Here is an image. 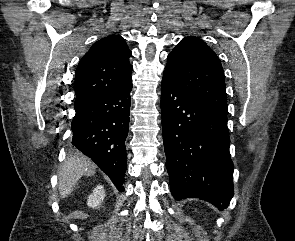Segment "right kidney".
Returning <instances> with one entry per match:
<instances>
[{
    "mask_svg": "<svg viewBox=\"0 0 295 241\" xmlns=\"http://www.w3.org/2000/svg\"><path fill=\"white\" fill-rule=\"evenodd\" d=\"M105 197V190L102 185H98L88 197L87 205L91 208H97Z\"/></svg>",
    "mask_w": 295,
    "mask_h": 241,
    "instance_id": "ca27d5eb",
    "label": "right kidney"
}]
</instances>
